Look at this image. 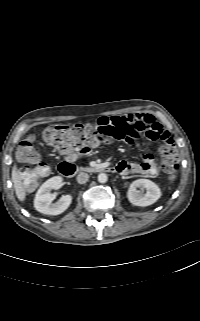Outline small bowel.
Returning <instances> with one entry per match:
<instances>
[{
	"instance_id": "small-bowel-1",
	"label": "small bowel",
	"mask_w": 200,
	"mask_h": 321,
	"mask_svg": "<svg viewBox=\"0 0 200 321\" xmlns=\"http://www.w3.org/2000/svg\"><path fill=\"white\" fill-rule=\"evenodd\" d=\"M98 124H114L119 132L120 139L128 144L138 141L140 133L144 132L150 141L160 140L164 147L161 153L171 147L173 139L163 126L156 121L153 115L148 113H130L124 116L101 117ZM75 154H68L69 160L75 159ZM116 171L122 175H155L158 172L157 161L151 153H145L139 163L121 161L116 166Z\"/></svg>"
}]
</instances>
